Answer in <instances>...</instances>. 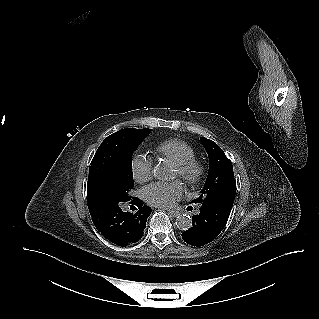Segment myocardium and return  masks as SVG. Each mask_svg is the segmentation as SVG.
Listing matches in <instances>:
<instances>
[{"label":"myocardium","instance_id":"myocardium-1","mask_svg":"<svg viewBox=\"0 0 319 319\" xmlns=\"http://www.w3.org/2000/svg\"><path fill=\"white\" fill-rule=\"evenodd\" d=\"M179 176L189 185L198 184L204 176V166L195 159L176 165Z\"/></svg>","mask_w":319,"mask_h":319}]
</instances>
